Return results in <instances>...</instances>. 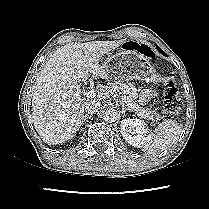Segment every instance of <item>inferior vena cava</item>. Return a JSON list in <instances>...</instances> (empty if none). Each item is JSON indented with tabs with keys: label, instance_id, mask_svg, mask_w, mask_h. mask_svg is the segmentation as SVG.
Masks as SVG:
<instances>
[{
	"label": "inferior vena cava",
	"instance_id": "obj_1",
	"mask_svg": "<svg viewBox=\"0 0 209 209\" xmlns=\"http://www.w3.org/2000/svg\"><path fill=\"white\" fill-rule=\"evenodd\" d=\"M100 108V102L97 100H88L84 105V110L86 113L92 115L96 113Z\"/></svg>",
	"mask_w": 209,
	"mask_h": 209
}]
</instances>
